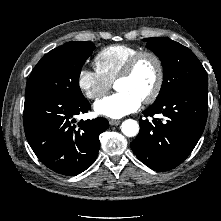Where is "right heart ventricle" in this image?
<instances>
[{
	"label": "right heart ventricle",
	"mask_w": 221,
	"mask_h": 221,
	"mask_svg": "<svg viewBox=\"0 0 221 221\" xmlns=\"http://www.w3.org/2000/svg\"><path fill=\"white\" fill-rule=\"evenodd\" d=\"M139 51H141L140 48L126 44L107 46L95 56V68L103 77L112 83L116 80L129 58Z\"/></svg>",
	"instance_id": "e07e8e85"
}]
</instances>
